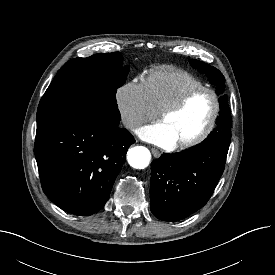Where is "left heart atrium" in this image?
I'll return each instance as SVG.
<instances>
[{
	"label": "left heart atrium",
	"mask_w": 275,
	"mask_h": 275,
	"mask_svg": "<svg viewBox=\"0 0 275 275\" xmlns=\"http://www.w3.org/2000/svg\"><path fill=\"white\" fill-rule=\"evenodd\" d=\"M137 134L143 140L163 148H172L176 145L174 137L162 122L142 127Z\"/></svg>",
	"instance_id": "1"
}]
</instances>
